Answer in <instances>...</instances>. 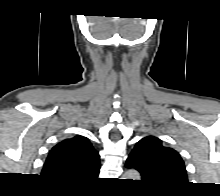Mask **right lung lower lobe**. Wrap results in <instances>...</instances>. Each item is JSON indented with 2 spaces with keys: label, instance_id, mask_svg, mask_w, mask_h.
Listing matches in <instances>:
<instances>
[{
  "label": "right lung lower lobe",
  "instance_id": "98d812e1",
  "mask_svg": "<svg viewBox=\"0 0 220 196\" xmlns=\"http://www.w3.org/2000/svg\"><path fill=\"white\" fill-rule=\"evenodd\" d=\"M55 184L58 186H64V187H75V185H67V184H60V183H55Z\"/></svg>",
  "mask_w": 220,
  "mask_h": 196
}]
</instances>
